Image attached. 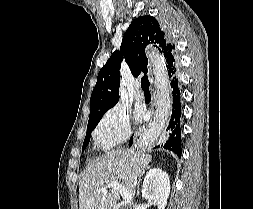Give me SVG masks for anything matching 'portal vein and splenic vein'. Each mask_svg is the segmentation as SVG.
<instances>
[{
	"mask_svg": "<svg viewBox=\"0 0 253 209\" xmlns=\"http://www.w3.org/2000/svg\"><path fill=\"white\" fill-rule=\"evenodd\" d=\"M109 188L118 190V192L122 196L123 201L125 203H129L131 201L132 193L129 190H127L126 187L123 184L118 183V182H110V183H108V186L99 189L98 192H105Z\"/></svg>",
	"mask_w": 253,
	"mask_h": 209,
	"instance_id": "1",
	"label": "portal vein and splenic vein"
}]
</instances>
